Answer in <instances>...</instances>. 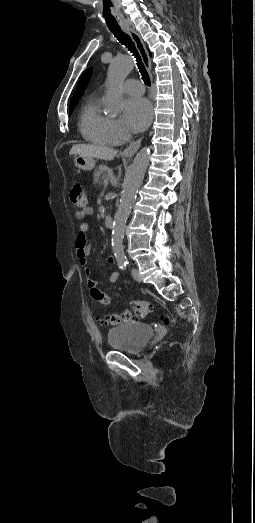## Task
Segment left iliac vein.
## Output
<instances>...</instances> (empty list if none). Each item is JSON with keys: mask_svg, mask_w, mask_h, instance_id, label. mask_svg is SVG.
<instances>
[{"mask_svg": "<svg viewBox=\"0 0 255 523\" xmlns=\"http://www.w3.org/2000/svg\"><path fill=\"white\" fill-rule=\"evenodd\" d=\"M132 276H133V278H134L136 281H138V282H141V281H142V279H141V277H140V274H139V272H138V270H137L136 268H133V269H132Z\"/></svg>", "mask_w": 255, "mask_h": 523, "instance_id": "left-iliac-vein-1", "label": "left iliac vein"}]
</instances>
